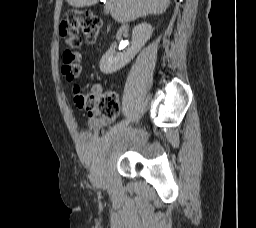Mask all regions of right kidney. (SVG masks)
<instances>
[{
    "label": "right kidney",
    "instance_id": "ca27d5eb",
    "mask_svg": "<svg viewBox=\"0 0 256 228\" xmlns=\"http://www.w3.org/2000/svg\"><path fill=\"white\" fill-rule=\"evenodd\" d=\"M153 29L150 24L141 23L132 30V45L123 53H116L115 48L110 49L100 60V70L104 74H111L126 66L150 39Z\"/></svg>",
    "mask_w": 256,
    "mask_h": 228
}]
</instances>
